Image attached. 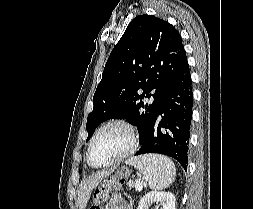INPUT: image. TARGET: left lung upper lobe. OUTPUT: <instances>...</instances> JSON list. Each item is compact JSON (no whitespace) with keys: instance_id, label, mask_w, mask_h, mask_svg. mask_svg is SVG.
I'll return each instance as SVG.
<instances>
[{"instance_id":"1","label":"left lung upper lobe","mask_w":253,"mask_h":209,"mask_svg":"<svg viewBox=\"0 0 253 209\" xmlns=\"http://www.w3.org/2000/svg\"><path fill=\"white\" fill-rule=\"evenodd\" d=\"M185 59L181 36L171 24L147 14L135 17L106 62L87 118L86 141L102 122L123 118L137 125L142 143Z\"/></svg>"}]
</instances>
